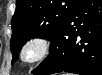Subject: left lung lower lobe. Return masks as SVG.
Instances as JSON below:
<instances>
[{
  "label": "left lung lower lobe",
  "mask_w": 102,
  "mask_h": 75,
  "mask_svg": "<svg viewBox=\"0 0 102 75\" xmlns=\"http://www.w3.org/2000/svg\"><path fill=\"white\" fill-rule=\"evenodd\" d=\"M102 75V0H81L50 40L49 56L34 75Z\"/></svg>",
  "instance_id": "left-lung-lower-lobe-1"
}]
</instances>
